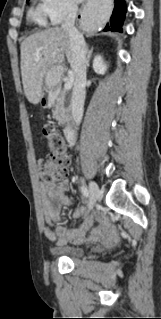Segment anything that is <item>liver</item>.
<instances>
[{"label": "liver", "instance_id": "liver-1", "mask_svg": "<svg viewBox=\"0 0 161 319\" xmlns=\"http://www.w3.org/2000/svg\"><path fill=\"white\" fill-rule=\"evenodd\" d=\"M64 56L72 62L69 35L60 27L33 34L21 43L22 83L30 103L38 104L41 101L44 77L51 68L60 67Z\"/></svg>", "mask_w": 161, "mask_h": 319}]
</instances>
